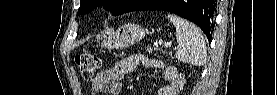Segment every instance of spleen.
Segmentation results:
<instances>
[{"label":"spleen","instance_id":"3e777b00","mask_svg":"<svg viewBox=\"0 0 277 95\" xmlns=\"http://www.w3.org/2000/svg\"><path fill=\"white\" fill-rule=\"evenodd\" d=\"M167 17L176 29V58L185 63L202 66L206 62V45L199 28L173 14H168Z\"/></svg>","mask_w":277,"mask_h":95}]
</instances>
